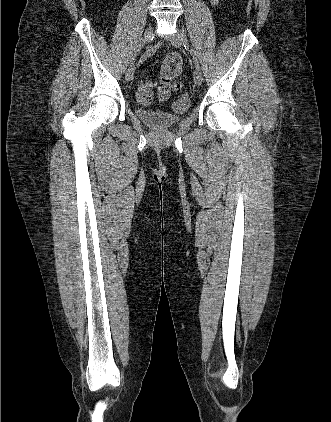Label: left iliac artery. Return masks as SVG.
<instances>
[{
	"label": "left iliac artery",
	"instance_id": "left-iliac-artery-1",
	"mask_svg": "<svg viewBox=\"0 0 331 422\" xmlns=\"http://www.w3.org/2000/svg\"><path fill=\"white\" fill-rule=\"evenodd\" d=\"M191 55H192L193 60H194L195 68L200 70L201 68H200L196 53L193 49H191Z\"/></svg>",
	"mask_w": 331,
	"mask_h": 422
}]
</instances>
